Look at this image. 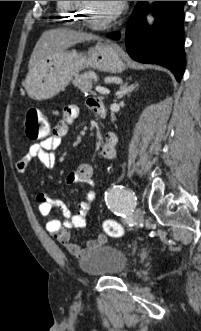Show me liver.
<instances>
[{"instance_id":"liver-1","label":"liver","mask_w":201,"mask_h":331,"mask_svg":"<svg viewBox=\"0 0 201 331\" xmlns=\"http://www.w3.org/2000/svg\"><path fill=\"white\" fill-rule=\"evenodd\" d=\"M97 36L66 28L52 29L43 32L31 54L29 72L42 64L54 54L84 41L98 40Z\"/></svg>"}]
</instances>
